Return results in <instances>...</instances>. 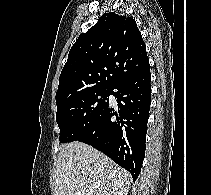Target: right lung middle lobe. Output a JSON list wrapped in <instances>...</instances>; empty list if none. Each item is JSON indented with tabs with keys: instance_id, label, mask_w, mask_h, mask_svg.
<instances>
[{
	"instance_id": "right-lung-middle-lobe-1",
	"label": "right lung middle lobe",
	"mask_w": 211,
	"mask_h": 195,
	"mask_svg": "<svg viewBox=\"0 0 211 195\" xmlns=\"http://www.w3.org/2000/svg\"><path fill=\"white\" fill-rule=\"evenodd\" d=\"M111 88L96 89L71 97L57 105L60 142H72L84 134L109 104Z\"/></svg>"
}]
</instances>
